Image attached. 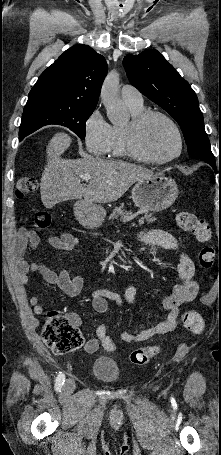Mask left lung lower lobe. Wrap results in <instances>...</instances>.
<instances>
[{
    "mask_svg": "<svg viewBox=\"0 0 221 455\" xmlns=\"http://www.w3.org/2000/svg\"><path fill=\"white\" fill-rule=\"evenodd\" d=\"M203 161H205L208 164H210L212 166V168L214 169V171L216 172L215 158H213V159H204ZM220 170H221V168H220V165H219V172H220Z\"/></svg>",
    "mask_w": 221,
    "mask_h": 455,
    "instance_id": "obj_1",
    "label": "left lung lower lobe"
}]
</instances>
